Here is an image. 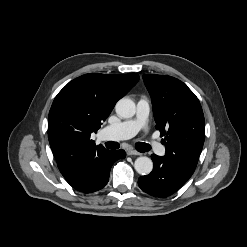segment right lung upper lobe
Returning <instances> with one entry per match:
<instances>
[{
    "mask_svg": "<svg viewBox=\"0 0 247 247\" xmlns=\"http://www.w3.org/2000/svg\"><path fill=\"white\" fill-rule=\"evenodd\" d=\"M138 80L136 73L85 74L69 82L55 97L48 116V138L67 182L108 151L96 146L90 135Z\"/></svg>",
    "mask_w": 247,
    "mask_h": 247,
    "instance_id": "right-lung-upper-lobe-1",
    "label": "right lung upper lobe"
}]
</instances>
